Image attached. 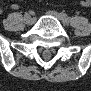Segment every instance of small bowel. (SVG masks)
<instances>
[{
    "label": "small bowel",
    "mask_w": 91,
    "mask_h": 91,
    "mask_svg": "<svg viewBox=\"0 0 91 91\" xmlns=\"http://www.w3.org/2000/svg\"><path fill=\"white\" fill-rule=\"evenodd\" d=\"M89 5H90V3L88 1H83L82 2L83 7H88Z\"/></svg>",
    "instance_id": "small-bowel-1"
}]
</instances>
